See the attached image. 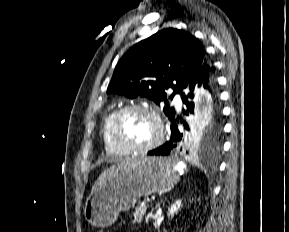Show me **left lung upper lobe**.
Listing matches in <instances>:
<instances>
[{
  "label": "left lung upper lobe",
  "instance_id": "5c2ea615",
  "mask_svg": "<svg viewBox=\"0 0 289 232\" xmlns=\"http://www.w3.org/2000/svg\"><path fill=\"white\" fill-rule=\"evenodd\" d=\"M205 60V50L198 40L183 30L167 28L135 44L119 60L107 93L135 98L138 95L165 103L163 109L170 121L174 108L168 106L165 90L173 94L192 80ZM184 135L186 149L207 153L219 151L222 122L218 116L203 119Z\"/></svg>",
  "mask_w": 289,
  "mask_h": 232
}]
</instances>
